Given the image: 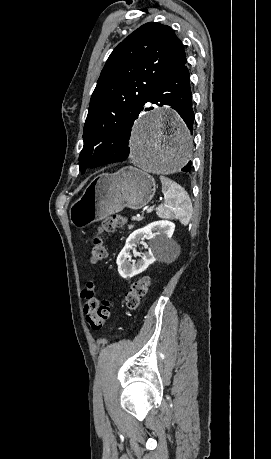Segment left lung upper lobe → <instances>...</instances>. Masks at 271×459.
I'll list each match as a JSON object with an SVG mask.
<instances>
[{"mask_svg":"<svg viewBox=\"0 0 271 459\" xmlns=\"http://www.w3.org/2000/svg\"><path fill=\"white\" fill-rule=\"evenodd\" d=\"M186 61L174 31L159 23L142 25L118 44L91 96L79 156L82 172L125 154L126 134L148 97Z\"/></svg>","mask_w":271,"mask_h":459,"instance_id":"left-lung-upper-lobe-1","label":"left lung upper lobe"}]
</instances>
